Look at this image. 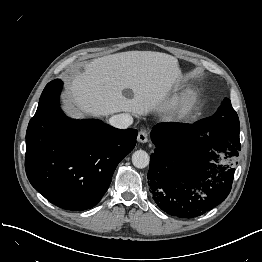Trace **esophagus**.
Here are the masks:
<instances>
[{
	"mask_svg": "<svg viewBox=\"0 0 262 262\" xmlns=\"http://www.w3.org/2000/svg\"><path fill=\"white\" fill-rule=\"evenodd\" d=\"M137 140H138L139 143L148 142V133L145 130H141L138 133Z\"/></svg>",
	"mask_w": 262,
	"mask_h": 262,
	"instance_id": "esophagus-1",
	"label": "esophagus"
}]
</instances>
